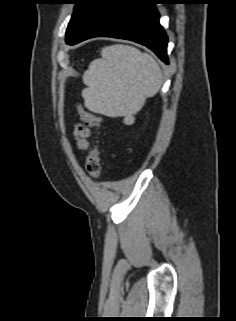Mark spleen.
Wrapping results in <instances>:
<instances>
[{"instance_id":"1","label":"spleen","mask_w":236,"mask_h":321,"mask_svg":"<svg viewBox=\"0 0 236 321\" xmlns=\"http://www.w3.org/2000/svg\"><path fill=\"white\" fill-rule=\"evenodd\" d=\"M101 56L83 75L87 88L82 96L90 111L109 117L134 114L161 87V70L147 53L113 45L103 48Z\"/></svg>"}]
</instances>
